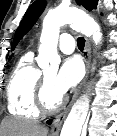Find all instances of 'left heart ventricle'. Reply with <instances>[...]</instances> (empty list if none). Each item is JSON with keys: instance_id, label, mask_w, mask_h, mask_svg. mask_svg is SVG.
<instances>
[{"instance_id": "obj_1", "label": "left heart ventricle", "mask_w": 117, "mask_h": 136, "mask_svg": "<svg viewBox=\"0 0 117 136\" xmlns=\"http://www.w3.org/2000/svg\"><path fill=\"white\" fill-rule=\"evenodd\" d=\"M45 79L47 81V101L49 104H55L60 97V95L54 89L55 72L46 73Z\"/></svg>"}]
</instances>
